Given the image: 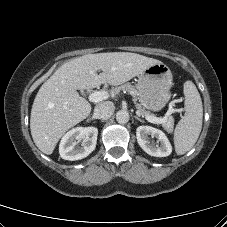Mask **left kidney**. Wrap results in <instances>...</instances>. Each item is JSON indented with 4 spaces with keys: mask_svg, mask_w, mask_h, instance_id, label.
I'll return each instance as SVG.
<instances>
[{
    "mask_svg": "<svg viewBox=\"0 0 227 227\" xmlns=\"http://www.w3.org/2000/svg\"><path fill=\"white\" fill-rule=\"evenodd\" d=\"M150 135L152 138H157L159 144L155 145L151 142L149 138ZM136 137L140 147L151 156L166 157L172 152V146L167 136L159 129L151 126H139L136 129Z\"/></svg>",
    "mask_w": 227,
    "mask_h": 227,
    "instance_id": "obj_1",
    "label": "left kidney"
}]
</instances>
